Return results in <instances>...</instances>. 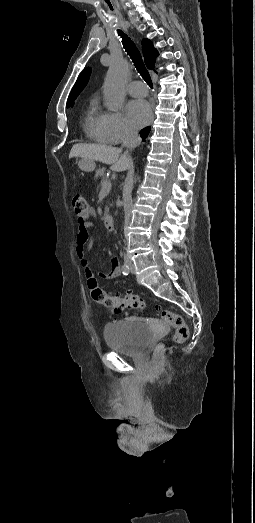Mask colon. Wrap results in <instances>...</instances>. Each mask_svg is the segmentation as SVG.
<instances>
[{"label":"colon","mask_w":255,"mask_h":523,"mask_svg":"<svg viewBox=\"0 0 255 523\" xmlns=\"http://www.w3.org/2000/svg\"><path fill=\"white\" fill-rule=\"evenodd\" d=\"M72 206L78 215H81L88 210L87 201L85 197L80 194H76L72 197ZM88 287L92 299L113 312L126 308L140 311L145 308L144 301L137 295L120 293L112 294L102 291L93 277L88 279ZM157 310L162 322L174 329L173 340L177 343L184 342L188 338L189 330L182 316L169 310H160L159 308H157Z\"/></svg>","instance_id":"5ec220e1"}]
</instances>
